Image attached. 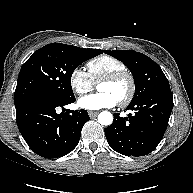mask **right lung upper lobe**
I'll return each mask as SVG.
<instances>
[{"label":"right lung upper lobe","instance_id":"right-lung-upper-lobe-1","mask_svg":"<svg viewBox=\"0 0 193 193\" xmlns=\"http://www.w3.org/2000/svg\"><path fill=\"white\" fill-rule=\"evenodd\" d=\"M94 50H96L97 52H99L100 54L102 53V51L101 50H98V49H94Z\"/></svg>","mask_w":193,"mask_h":193}]
</instances>
